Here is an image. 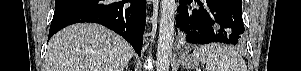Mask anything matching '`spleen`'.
<instances>
[{
  "mask_svg": "<svg viewBox=\"0 0 301 71\" xmlns=\"http://www.w3.org/2000/svg\"><path fill=\"white\" fill-rule=\"evenodd\" d=\"M194 55L206 64V71H247L244 59L225 45L200 46L194 51Z\"/></svg>",
  "mask_w": 301,
  "mask_h": 71,
  "instance_id": "spleen-1",
  "label": "spleen"
}]
</instances>
